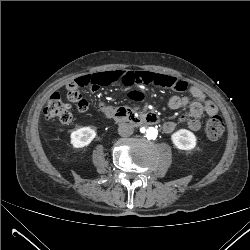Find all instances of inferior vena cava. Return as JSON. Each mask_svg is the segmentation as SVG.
<instances>
[{
    "label": "inferior vena cava",
    "instance_id": "602c4592",
    "mask_svg": "<svg viewBox=\"0 0 250 250\" xmlns=\"http://www.w3.org/2000/svg\"><path fill=\"white\" fill-rule=\"evenodd\" d=\"M132 131V128L128 125V124H120L118 127V134L120 136H126L128 134H130Z\"/></svg>",
    "mask_w": 250,
    "mask_h": 250
}]
</instances>
